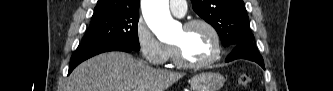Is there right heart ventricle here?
I'll return each mask as SVG.
<instances>
[{"label": "right heart ventricle", "instance_id": "obj_1", "mask_svg": "<svg viewBox=\"0 0 333 91\" xmlns=\"http://www.w3.org/2000/svg\"><path fill=\"white\" fill-rule=\"evenodd\" d=\"M169 58H174L173 48H170V56H169Z\"/></svg>", "mask_w": 333, "mask_h": 91}]
</instances>
